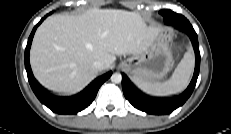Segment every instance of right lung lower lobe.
I'll use <instances>...</instances> for the list:
<instances>
[{
	"label": "right lung lower lobe",
	"instance_id": "1",
	"mask_svg": "<svg viewBox=\"0 0 231 134\" xmlns=\"http://www.w3.org/2000/svg\"><path fill=\"white\" fill-rule=\"evenodd\" d=\"M45 18L46 16L42 18L40 22L33 28L25 49V68L27 71L28 80L33 92L38 97V99L53 112L59 114H76L92 103L97 95L100 86L111 76L112 72L110 71L98 77L85 90L71 97H58L46 92L35 80L29 63V52L34 33L37 27Z\"/></svg>",
	"mask_w": 231,
	"mask_h": 134
}]
</instances>
